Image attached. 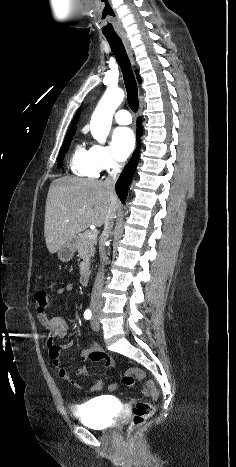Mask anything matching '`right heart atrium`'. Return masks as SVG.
Listing matches in <instances>:
<instances>
[{
	"mask_svg": "<svg viewBox=\"0 0 236 467\" xmlns=\"http://www.w3.org/2000/svg\"><path fill=\"white\" fill-rule=\"evenodd\" d=\"M90 155L98 172H112L119 166L112 149L107 145L94 143L90 148Z\"/></svg>",
	"mask_w": 236,
	"mask_h": 467,
	"instance_id": "right-heart-atrium-1",
	"label": "right heart atrium"
}]
</instances>
